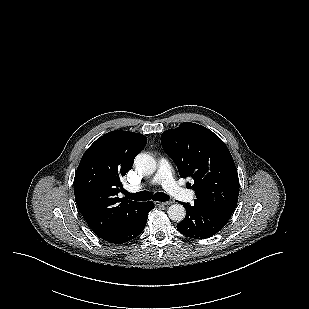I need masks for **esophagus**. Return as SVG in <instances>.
Wrapping results in <instances>:
<instances>
[{
    "instance_id": "esophagus-1",
    "label": "esophagus",
    "mask_w": 309,
    "mask_h": 309,
    "mask_svg": "<svg viewBox=\"0 0 309 309\" xmlns=\"http://www.w3.org/2000/svg\"><path fill=\"white\" fill-rule=\"evenodd\" d=\"M173 202L172 201H166V202H161V201H155V205L156 206H161V205H165V206H168V205H171Z\"/></svg>"
}]
</instances>
